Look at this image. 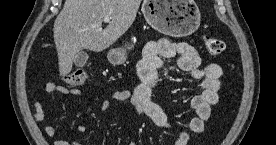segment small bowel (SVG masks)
<instances>
[{"mask_svg":"<svg viewBox=\"0 0 276 145\" xmlns=\"http://www.w3.org/2000/svg\"><path fill=\"white\" fill-rule=\"evenodd\" d=\"M165 58H175L180 70L200 81L201 92L191 99V107L196 112V116L190 120L188 129L180 132L174 143V145H186L191 136H196L204 130L212 107L218 102L222 69L216 63L201 66L197 50L185 42L161 39L147 43L143 50V57L137 65L139 84L133 90L114 91L110 98L102 102V109H108L114 102H129L138 115L148 117L158 127L169 128L171 123L166 113L151 98L152 90L158 85V71L163 66ZM42 92L71 96L81 95V90L78 88H68L54 82L47 83ZM34 111L35 121H43L45 110L39 100L34 102ZM78 131L83 133L86 131V127L79 125ZM44 132L48 137H53L57 129L53 125H48L44 128ZM53 145H79V143L56 139ZM128 145H135V143L131 141Z\"/></svg>","mask_w":276,"mask_h":145,"instance_id":"1","label":"small bowel"}]
</instances>
